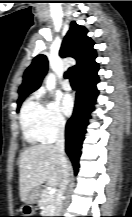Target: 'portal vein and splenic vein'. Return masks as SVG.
Listing matches in <instances>:
<instances>
[{"label": "portal vein and splenic vein", "instance_id": "obj_1", "mask_svg": "<svg viewBox=\"0 0 132 217\" xmlns=\"http://www.w3.org/2000/svg\"><path fill=\"white\" fill-rule=\"evenodd\" d=\"M49 194L50 195H54L56 193V189L55 188H49Z\"/></svg>", "mask_w": 132, "mask_h": 217}]
</instances>
